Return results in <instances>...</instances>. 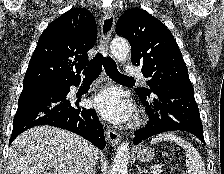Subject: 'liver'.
<instances>
[{
	"instance_id": "obj_1",
	"label": "liver",
	"mask_w": 224,
	"mask_h": 174,
	"mask_svg": "<svg viewBox=\"0 0 224 174\" xmlns=\"http://www.w3.org/2000/svg\"><path fill=\"white\" fill-rule=\"evenodd\" d=\"M87 145L81 136L53 126L30 128L12 142L8 174H76ZM95 153L98 159L97 149Z\"/></svg>"
}]
</instances>
